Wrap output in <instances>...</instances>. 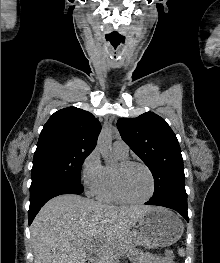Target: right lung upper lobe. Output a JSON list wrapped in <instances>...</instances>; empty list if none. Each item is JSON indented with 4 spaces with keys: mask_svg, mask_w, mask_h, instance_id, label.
I'll list each match as a JSON object with an SVG mask.
<instances>
[{
    "mask_svg": "<svg viewBox=\"0 0 220 263\" xmlns=\"http://www.w3.org/2000/svg\"><path fill=\"white\" fill-rule=\"evenodd\" d=\"M100 122L88 111L68 107L55 112L40 133L35 152L55 148L93 151Z\"/></svg>",
    "mask_w": 220,
    "mask_h": 263,
    "instance_id": "cb5924a9",
    "label": "right lung upper lobe"
}]
</instances>
